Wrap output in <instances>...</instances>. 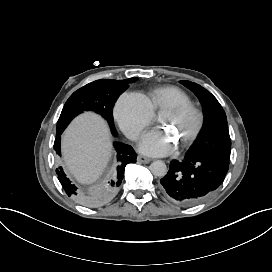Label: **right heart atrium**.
Masks as SVG:
<instances>
[{
    "label": "right heart atrium",
    "mask_w": 272,
    "mask_h": 272,
    "mask_svg": "<svg viewBox=\"0 0 272 272\" xmlns=\"http://www.w3.org/2000/svg\"><path fill=\"white\" fill-rule=\"evenodd\" d=\"M115 112L121 128L132 140H137L154 118L148 99L135 92L124 93L117 102Z\"/></svg>",
    "instance_id": "d8ad5b80"
}]
</instances>
